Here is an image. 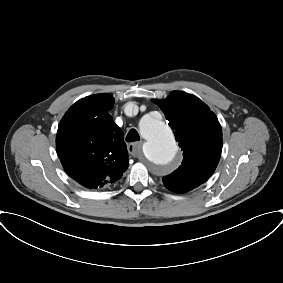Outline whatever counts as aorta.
<instances>
[{
	"mask_svg": "<svg viewBox=\"0 0 283 283\" xmlns=\"http://www.w3.org/2000/svg\"><path fill=\"white\" fill-rule=\"evenodd\" d=\"M140 132L145 139L143 153L157 169L172 168L177 144L171 128L156 118H144L140 122Z\"/></svg>",
	"mask_w": 283,
	"mask_h": 283,
	"instance_id": "762f6f07",
	"label": "aorta"
}]
</instances>
